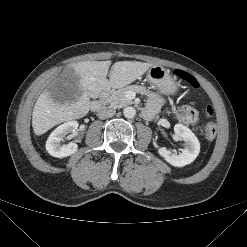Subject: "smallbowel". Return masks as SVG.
I'll return each instance as SVG.
<instances>
[{
    "mask_svg": "<svg viewBox=\"0 0 247 247\" xmlns=\"http://www.w3.org/2000/svg\"><path fill=\"white\" fill-rule=\"evenodd\" d=\"M159 104L160 100L157 97H152L146 110L147 114L151 115L159 107Z\"/></svg>",
    "mask_w": 247,
    "mask_h": 247,
    "instance_id": "obj_1",
    "label": "small bowel"
}]
</instances>
